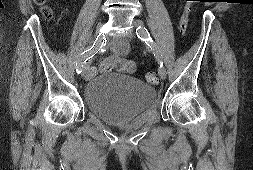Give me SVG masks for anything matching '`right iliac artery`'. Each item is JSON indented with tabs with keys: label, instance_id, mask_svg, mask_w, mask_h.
Listing matches in <instances>:
<instances>
[{
	"label": "right iliac artery",
	"instance_id": "right-iliac-artery-1",
	"mask_svg": "<svg viewBox=\"0 0 253 170\" xmlns=\"http://www.w3.org/2000/svg\"><path fill=\"white\" fill-rule=\"evenodd\" d=\"M103 46L102 39L97 36L95 42L91 47H89L87 50H85L82 54L78 62L76 63V72L78 74H81L83 70V63H85L87 60L92 58Z\"/></svg>",
	"mask_w": 253,
	"mask_h": 170
}]
</instances>
